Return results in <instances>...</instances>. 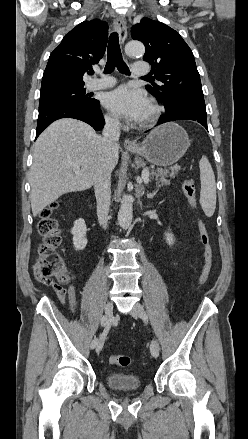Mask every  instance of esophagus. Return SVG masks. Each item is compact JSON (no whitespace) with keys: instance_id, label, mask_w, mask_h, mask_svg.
Segmentation results:
<instances>
[{"instance_id":"1","label":"esophagus","mask_w":248,"mask_h":439,"mask_svg":"<svg viewBox=\"0 0 248 439\" xmlns=\"http://www.w3.org/2000/svg\"><path fill=\"white\" fill-rule=\"evenodd\" d=\"M114 27L118 31L120 42L124 43L127 37V25L125 18L123 16H116L114 19ZM124 147L126 149H133L136 147V143L126 138L124 140Z\"/></svg>"}]
</instances>
